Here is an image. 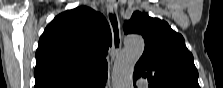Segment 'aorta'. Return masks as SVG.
Returning <instances> with one entry per match:
<instances>
[{"mask_svg": "<svg viewBox=\"0 0 223 88\" xmlns=\"http://www.w3.org/2000/svg\"><path fill=\"white\" fill-rule=\"evenodd\" d=\"M144 51L141 36L131 35L125 39L124 48L115 60L112 70L113 88H132L135 64Z\"/></svg>", "mask_w": 223, "mask_h": 88, "instance_id": "762f6f07", "label": "aorta"}]
</instances>
